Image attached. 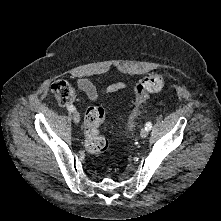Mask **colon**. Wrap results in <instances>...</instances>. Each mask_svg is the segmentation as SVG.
Segmentation results:
<instances>
[{
    "instance_id": "colon-1",
    "label": "colon",
    "mask_w": 221,
    "mask_h": 221,
    "mask_svg": "<svg viewBox=\"0 0 221 221\" xmlns=\"http://www.w3.org/2000/svg\"><path fill=\"white\" fill-rule=\"evenodd\" d=\"M164 86V78L161 74H154L140 80L134 87V95L139 103L144 102L150 93L160 91ZM52 93L60 103H68L74 100L73 89L64 81H57L52 85ZM105 111L100 106H91L85 114V146L92 154H101L108 143L100 136L99 129L105 121Z\"/></svg>"
}]
</instances>
